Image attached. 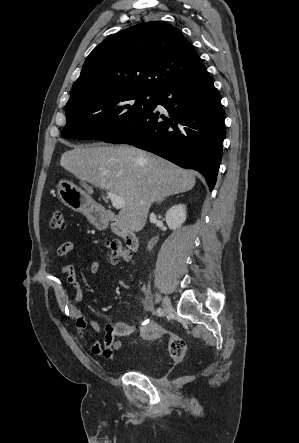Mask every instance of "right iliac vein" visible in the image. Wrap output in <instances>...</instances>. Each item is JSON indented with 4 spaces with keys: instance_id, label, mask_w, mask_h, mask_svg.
Returning <instances> with one entry per match:
<instances>
[{
    "instance_id": "obj_1",
    "label": "right iliac vein",
    "mask_w": 299,
    "mask_h": 443,
    "mask_svg": "<svg viewBox=\"0 0 299 443\" xmlns=\"http://www.w3.org/2000/svg\"><path fill=\"white\" fill-rule=\"evenodd\" d=\"M162 309L164 314H168L172 310L170 299L167 296L163 298Z\"/></svg>"
}]
</instances>
